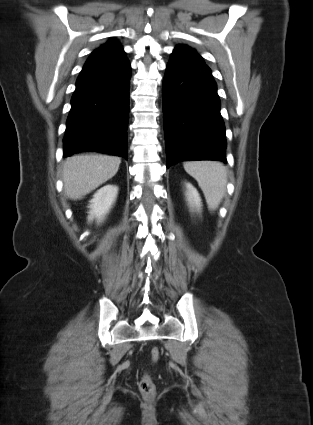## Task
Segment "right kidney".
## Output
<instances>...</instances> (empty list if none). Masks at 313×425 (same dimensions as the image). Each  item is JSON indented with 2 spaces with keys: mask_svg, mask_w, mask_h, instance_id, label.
I'll return each mask as SVG.
<instances>
[{
  "mask_svg": "<svg viewBox=\"0 0 313 425\" xmlns=\"http://www.w3.org/2000/svg\"><path fill=\"white\" fill-rule=\"evenodd\" d=\"M117 194L118 187L115 185H106L99 189L90 200L88 221L96 219L98 223L102 222L116 201Z\"/></svg>",
  "mask_w": 313,
  "mask_h": 425,
  "instance_id": "ca27d5eb",
  "label": "right kidney"
}]
</instances>
